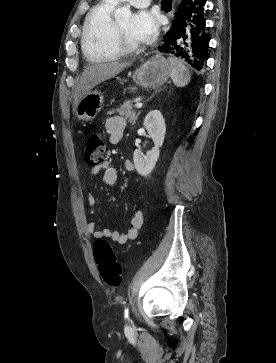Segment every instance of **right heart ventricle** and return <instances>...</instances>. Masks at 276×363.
I'll return each mask as SVG.
<instances>
[{"label":"right heart ventricle","mask_w":276,"mask_h":363,"mask_svg":"<svg viewBox=\"0 0 276 363\" xmlns=\"http://www.w3.org/2000/svg\"><path fill=\"white\" fill-rule=\"evenodd\" d=\"M115 6L116 2L113 0H102L85 20L81 41L82 50L91 62L112 61L120 56L112 42Z\"/></svg>","instance_id":"e07e8e85"}]
</instances>
